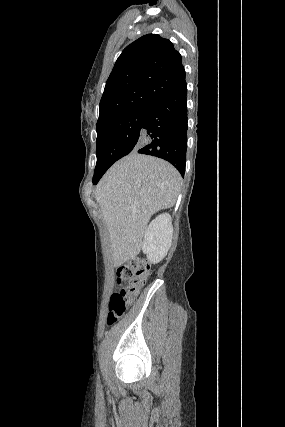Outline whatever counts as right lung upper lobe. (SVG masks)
I'll list each match as a JSON object with an SVG mask.
<instances>
[{
	"label": "right lung upper lobe",
	"instance_id": "cb5924a9",
	"mask_svg": "<svg viewBox=\"0 0 285 427\" xmlns=\"http://www.w3.org/2000/svg\"><path fill=\"white\" fill-rule=\"evenodd\" d=\"M184 82L181 55L173 44L156 34L142 36L118 57L100 101L97 126L146 108Z\"/></svg>",
	"mask_w": 285,
	"mask_h": 427
}]
</instances>
